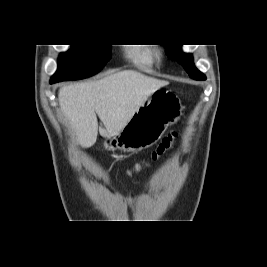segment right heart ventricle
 Here are the masks:
<instances>
[{
  "mask_svg": "<svg viewBox=\"0 0 267 267\" xmlns=\"http://www.w3.org/2000/svg\"><path fill=\"white\" fill-rule=\"evenodd\" d=\"M125 57L141 69L152 67L156 62V52L152 48L130 46L125 50Z\"/></svg>",
  "mask_w": 267,
  "mask_h": 267,
  "instance_id": "e07e8e85",
  "label": "right heart ventricle"
}]
</instances>
